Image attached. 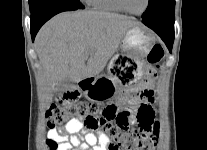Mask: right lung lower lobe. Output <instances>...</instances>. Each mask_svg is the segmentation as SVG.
Masks as SVG:
<instances>
[{
    "label": "right lung lower lobe",
    "instance_id": "98d812e1",
    "mask_svg": "<svg viewBox=\"0 0 207 150\" xmlns=\"http://www.w3.org/2000/svg\"><path fill=\"white\" fill-rule=\"evenodd\" d=\"M78 8L67 5V4H51L48 6H45L41 10L31 13L30 16V27H31V36L32 40H34L38 30L41 28V26L48 21L51 17L54 15L63 12V11H72L77 10Z\"/></svg>",
    "mask_w": 207,
    "mask_h": 150
}]
</instances>
